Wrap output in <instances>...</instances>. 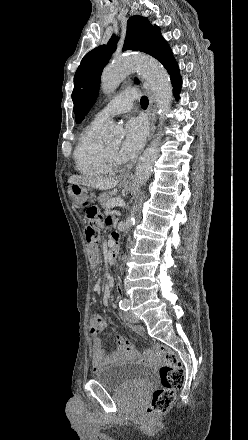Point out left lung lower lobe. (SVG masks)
Masks as SVG:
<instances>
[{
  "label": "left lung lower lobe",
  "instance_id": "1",
  "mask_svg": "<svg viewBox=\"0 0 248 440\" xmlns=\"http://www.w3.org/2000/svg\"><path fill=\"white\" fill-rule=\"evenodd\" d=\"M171 82L173 85L174 95H175L176 99H178L179 98L178 94L180 92V88H181V84H182L180 74L179 73L172 74L171 75Z\"/></svg>",
  "mask_w": 248,
  "mask_h": 440
}]
</instances>
